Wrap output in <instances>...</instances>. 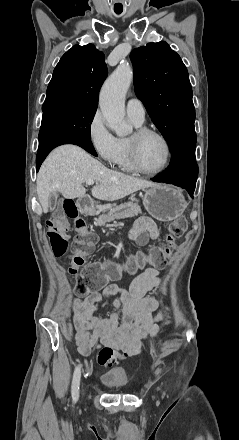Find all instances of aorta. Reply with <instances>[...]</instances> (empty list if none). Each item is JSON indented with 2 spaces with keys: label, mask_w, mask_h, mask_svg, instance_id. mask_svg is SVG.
I'll return each mask as SVG.
<instances>
[{
  "label": "aorta",
  "mask_w": 239,
  "mask_h": 440,
  "mask_svg": "<svg viewBox=\"0 0 239 440\" xmlns=\"http://www.w3.org/2000/svg\"><path fill=\"white\" fill-rule=\"evenodd\" d=\"M133 80L132 68L128 62H121L102 86L99 98L100 110L108 128L117 136L132 134V126L125 122V96Z\"/></svg>",
  "instance_id": "obj_1"
}]
</instances>
